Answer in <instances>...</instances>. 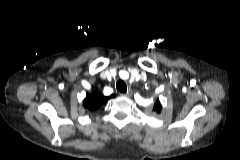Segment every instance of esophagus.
I'll return each mask as SVG.
<instances>
[{
  "label": "esophagus",
  "instance_id": "34e87169",
  "mask_svg": "<svg viewBox=\"0 0 240 160\" xmlns=\"http://www.w3.org/2000/svg\"><path fill=\"white\" fill-rule=\"evenodd\" d=\"M123 95L126 96V97H130L132 95V93L131 92H127L126 94H123Z\"/></svg>",
  "mask_w": 240,
  "mask_h": 160
}]
</instances>
